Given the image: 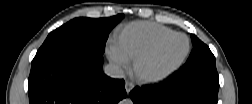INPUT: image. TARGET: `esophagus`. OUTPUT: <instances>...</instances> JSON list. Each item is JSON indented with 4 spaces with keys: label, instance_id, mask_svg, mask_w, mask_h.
I'll return each instance as SVG.
<instances>
[{
    "label": "esophagus",
    "instance_id": "obj_1",
    "mask_svg": "<svg viewBox=\"0 0 252 104\" xmlns=\"http://www.w3.org/2000/svg\"><path fill=\"white\" fill-rule=\"evenodd\" d=\"M133 88H134V83L133 82L127 81L125 83V89H126L127 93H129Z\"/></svg>",
    "mask_w": 252,
    "mask_h": 104
}]
</instances>
